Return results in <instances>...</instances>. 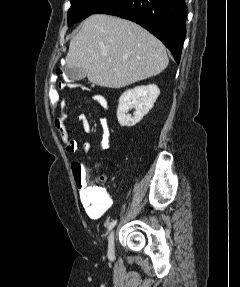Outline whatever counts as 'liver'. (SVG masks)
Wrapping results in <instances>:
<instances>
[{"mask_svg":"<svg viewBox=\"0 0 240 287\" xmlns=\"http://www.w3.org/2000/svg\"><path fill=\"white\" fill-rule=\"evenodd\" d=\"M164 45L140 25L105 14L88 17L72 38L68 68L86 71L98 86L122 88L161 73L168 65Z\"/></svg>","mask_w":240,"mask_h":287,"instance_id":"1","label":"liver"}]
</instances>
